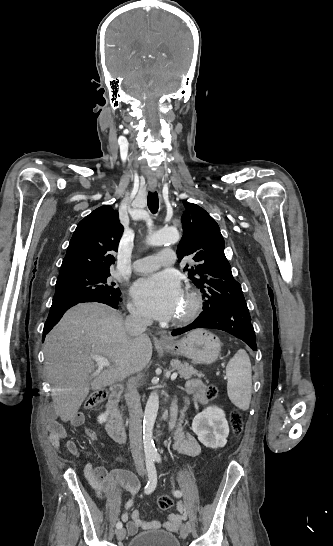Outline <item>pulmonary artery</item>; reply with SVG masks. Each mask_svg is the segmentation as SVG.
Wrapping results in <instances>:
<instances>
[{"instance_id": "1", "label": "pulmonary artery", "mask_w": 333, "mask_h": 546, "mask_svg": "<svg viewBox=\"0 0 333 546\" xmlns=\"http://www.w3.org/2000/svg\"><path fill=\"white\" fill-rule=\"evenodd\" d=\"M175 261V253L172 250L165 249L155 255H150L134 261L132 268L138 273H148L158 269L161 266L172 265Z\"/></svg>"}]
</instances>
